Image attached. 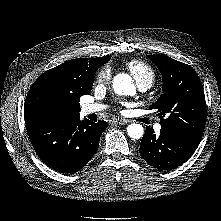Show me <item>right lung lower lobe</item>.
<instances>
[{
  "label": "right lung lower lobe",
  "instance_id": "1",
  "mask_svg": "<svg viewBox=\"0 0 221 221\" xmlns=\"http://www.w3.org/2000/svg\"><path fill=\"white\" fill-rule=\"evenodd\" d=\"M25 123L39 158L48 167L62 173H75L82 169L96 153L100 136L107 128L105 121H80V115Z\"/></svg>",
  "mask_w": 221,
  "mask_h": 221
}]
</instances>
